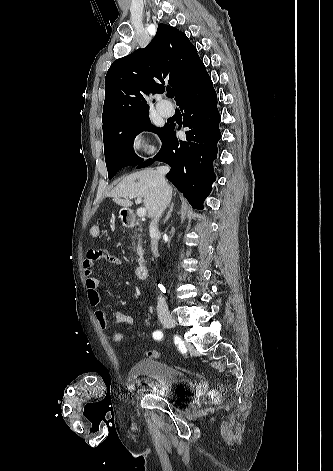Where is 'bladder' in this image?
Masks as SVG:
<instances>
[{
	"instance_id": "obj_1",
	"label": "bladder",
	"mask_w": 333,
	"mask_h": 471,
	"mask_svg": "<svg viewBox=\"0 0 333 471\" xmlns=\"http://www.w3.org/2000/svg\"><path fill=\"white\" fill-rule=\"evenodd\" d=\"M129 374L151 380L157 390V395L168 402H178L189 398L194 390L192 380L184 372L154 358H145L135 362Z\"/></svg>"
}]
</instances>
